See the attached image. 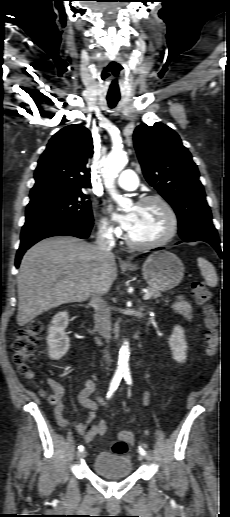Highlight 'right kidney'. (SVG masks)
I'll list each match as a JSON object with an SVG mask.
<instances>
[{"mask_svg":"<svg viewBox=\"0 0 230 517\" xmlns=\"http://www.w3.org/2000/svg\"><path fill=\"white\" fill-rule=\"evenodd\" d=\"M69 316L67 311L57 313L48 329L47 344L49 357L53 360L62 358L70 347V339L65 333Z\"/></svg>","mask_w":230,"mask_h":517,"instance_id":"obj_1","label":"right kidney"}]
</instances>
